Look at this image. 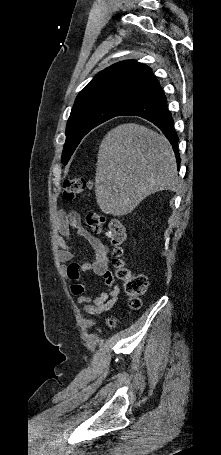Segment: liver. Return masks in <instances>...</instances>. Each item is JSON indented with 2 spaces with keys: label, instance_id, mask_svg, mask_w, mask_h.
<instances>
[{
  "label": "liver",
  "instance_id": "1",
  "mask_svg": "<svg viewBox=\"0 0 221 455\" xmlns=\"http://www.w3.org/2000/svg\"><path fill=\"white\" fill-rule=\"evenodd\" d=\"M176 158L165 136L135 123L121 124L103 138L95 174V194L105 214L131 213L147 196L175 190Z\"/></svg>",
  "mask_w": 221,
  "mask_h": 455
}]
</instances>
